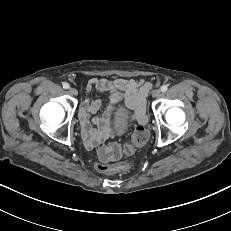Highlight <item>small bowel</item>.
<instances>
[{
	"mask_svg": "<svg viewBox=\"0 0 231 231\" xmlns=\"http://www.w3.org/2000/svg\"><path fill=\"white\" fill-rule=\"evenodd\" d=\"M150 89L151 84L143 80L92 78L88 82L87 93L90 94L93 90L98 94L107 91L110 93V102L103 117L93 116L102 107V99L99 96H87L82 102L79 120L85 146L93 149L112 135L113 124L109 117L119 104H123L132 112V119L144 121L146 97Z\"/></svg>",
	"mask_w": 231,
	"mask_h": 231,
	"instance_id": "1",
	"label": "small bowel"
}]
</instances>
